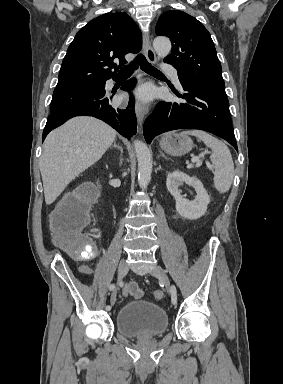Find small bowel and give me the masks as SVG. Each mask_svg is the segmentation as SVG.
Wrapping results in <instances>:
<instances>
[{"label":"small bowel","instance_id":"c3829d8e","mask_svg":"<svg viewBox=\"0 0 283 384\" xmlns=\"http://www.w3.org/2000/svg\"><path fill=\"white\" fill-rule=\"evenodd\" d=\"M80 271L83 273V274H86V275H90L93 273V269L88 267V266H81L80 267ZM136 285L135 283H130L128 284L127 286H134Z\"/></svg>","mask_w":283,"mask_h":384}]
</instances>
